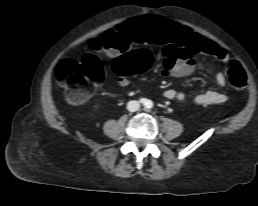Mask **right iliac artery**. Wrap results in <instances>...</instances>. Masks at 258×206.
I'll return each instance as SVG.
<instances>
[{
  "label": "right iliac artery",
  "mask_w": 258,
  "mask_h": 206,
  "mask_svg": "<svg viewBox=\"0 0 258 206\" xmlns=\"http://www.w3.org/2000/svg\"><path fill=\"white\" fill-rule=\"evenodd\" d=\"M140 102H141L142 104H146V103H147V100H146L145 98H142V99H140Z\"/></svg>",
  "instance_id": "82829eb1"
}]
</instances>
